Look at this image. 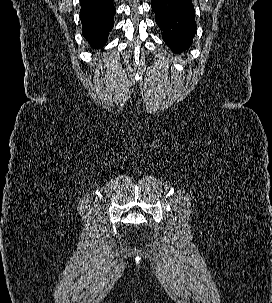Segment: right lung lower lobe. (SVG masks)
I'll list each match as a JSON object with an SVG mask.
<instances>
[{"label":"right lung lower lobe","instance_id":"1","mask_svg":"<svg viewBox=\"0 0 272 303\" xmlns=\"http://www.w3.org/2000/svg\"><path fill=\"white\" fill-rule=\"evenodd\" d=\"M80 19L84 38L92 48H102L112 30L116 9L113 0H80Z\"/></svg>","mask_w":272,"mask_h":303}]
</instances>
